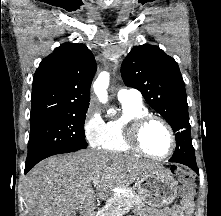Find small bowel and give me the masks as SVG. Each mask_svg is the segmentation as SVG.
Instances as JSON below:
<instances>
[{"instance_id":"small-bowel-1","label":"small bowel","mask_w":221,"mask_h":216,"mask_svg":"<svg viewBox=\"0 0 221 216\" xmlns=\"http://www.w3.org/2000/svg\"><path fill=\"white\" fill-rule=\"evenodd\" d=\"M193 210L192 201L189 203L182 201L181 205L162 210L159 216H192Z\"/></svg>"}]
</instances>
